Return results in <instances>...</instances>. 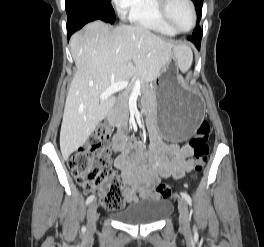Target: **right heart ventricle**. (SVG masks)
<instances>
[{
    "instance_id": "e07e8e85",
    "label": "right heart ventricle",
    "mask_w": 264,
    "mask_h": 247,
    "mask_svg": "<svg viewBox=\"0 0 264 247\" xmlns=\"http://www.w3.org/2000/svg\"><path fill=\"white\" fill-rule=\"evenodd\" d=\"M129 19L139 27L165 35L176 32L163 20L158 10V0H136Z\"/></svg>"
}]
</instances>
